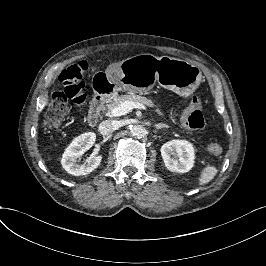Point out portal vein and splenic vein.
<instances>
[{
  "mask_svg": "<svg viewBox=\"0 0 266 266\" xmlns=\"http://www.w3.org/2000/svg\"><path fill=\"white\" fill-rule=\"evenodd\" d=\"M135 108L145 110L146 106L141 103H135L133 101L125 100L111 109V115L114 117L123 116L131 112Z\"/></svg>",
  "mask_w": 266,
  "mask_h": 266,
  "instance_id": "portal-vein-and-splenic-vein-1",
  "label": "portal vein and splenic vein"
}]
</instances>
